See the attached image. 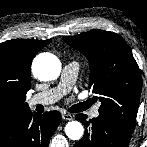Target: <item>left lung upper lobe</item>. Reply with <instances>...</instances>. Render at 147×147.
<instances>
[{
	"label": "left lung upper lobe",
	"instance_id": "left-lung-upper-lobe-1",
	"mask_svg": "<svg viewBox=\"0 0 147 147\" xmlns=\"http://www.w3.org/2000/svg\"><path fill=\"white\" fill-rule=\"evenodd\" d=\"M63 40L89 61V88L99 95V115L133 131L141 95V76L126 42L119 35L104 30H91L63 37Z\"/></svg>",
	"mask_w": 147,
	"mask_h": 147
}]
</instances>
